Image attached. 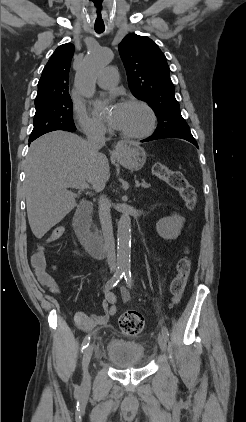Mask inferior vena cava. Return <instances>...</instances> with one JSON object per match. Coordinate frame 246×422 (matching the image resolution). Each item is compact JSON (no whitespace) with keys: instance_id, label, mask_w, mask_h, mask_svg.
Segmentation results:
<instances>
[{"instance_id":"inferior-vena-cava-1","label":"inferior vena cava","mask_w":246,"mask_h":422,"mask_svg":"<svg viewBox=\"0 0 246 422\" xmlns=\"http://www.w3.org/2000/svg\"><path fill=\"white\" fill-rule=\"evenodd\" d=\"M88 146L91 152L95 155L99 154V150L105 145V134L100 127H92L87 131ZM105 183L100 182L95 186L97 192H101L104 189ZM99 218L102 227V233L104 237V248L107 255V262L111 270H115L116 254H115V242L112 227L111 218V204L105 196H100L99 199Z\"/></svg>"}]
</instances>
